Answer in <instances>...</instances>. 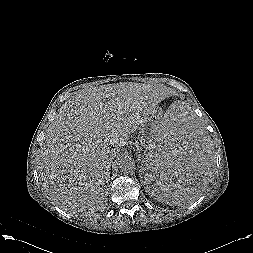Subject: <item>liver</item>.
I'll list each match as a JSON object with an SVG mask.
<instances>
[{"instance_id": "1", "label": "liver", "mask_w": 253, "mask_h": 253, "mask_svg": "<svg viewBox=\"0 0 253 253\" xmlns=\"http://www.w3.org/2000/svg\"><path fill=\"white\" fill-rule=\"evenodd\" d=\"M167 92L161 85L118 83L83 89L63 104L38 157L49 198L80 217L104 211L112 160Z\"/></svg>"}]
</instances>
